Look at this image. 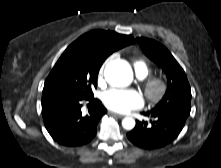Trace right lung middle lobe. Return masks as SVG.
I'll return each instance as SVG.
<instances>
[{
    "label": "right lung middle lobe",
    "instance_id": "dd1d6c3e",
    "mask_svg": "<svg viewBox=\"0 0 221 168\" xmlns=\"http://www.w3.org/2000/svg\"><path fill=\"white\" fill-rule=\"evenodd\" d=\"M105 58L87 49L67 48L47 77L43 93L63 92L74 96L93 97L97 76Z\"/></svg>",
    "mask_w": 221,
    "mask_h": 168
}]
</instances>
